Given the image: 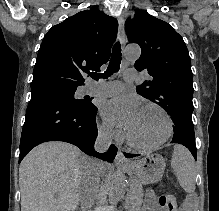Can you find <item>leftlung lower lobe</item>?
Returning a JSON list of instances; mask_svg holds the SVG:
<instances>
[{
  "label": "left lung lower lobe",
  "instance_id": "1",
  "mask_svg": "<svg viewBox=\"0 0 219 211\" xmlns=\"http://www.w3.org/2000/svg\"><path fill=\"white\" fill-rule=\"evenodd\" d=\"M173 137L174 138L171 141V143H178L184 145L190 150L195 160L197 159L194 129L191 128L176 129L174 130ZM124 155L127 158L138 156L137 154H129V153H124Z\"/></svg>",
  "mask_w": 219,
  "mask_h": 211
}]
</instances>
